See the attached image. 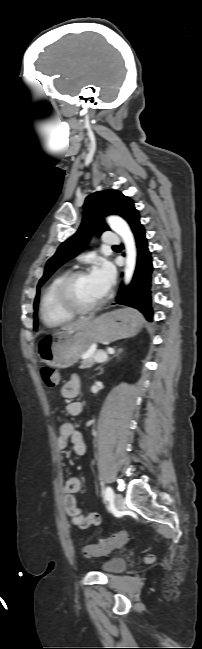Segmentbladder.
Segmentation results:
<instances>
[{"label":"bladder","mask_w":202,"mask_h":649,"mask_svg":"<svg viewBox=\"0 0 202 649\" xmlns=\"http://www.w3.org/2000/svg\"><path fill=\"white\" fill-rule=\"evenodd\" d=\"M126 568V561L121 557L112 558L104 562L100 568L103 573L116 574Z\"/></svg>","instance_id":"1"}]
</instances>
